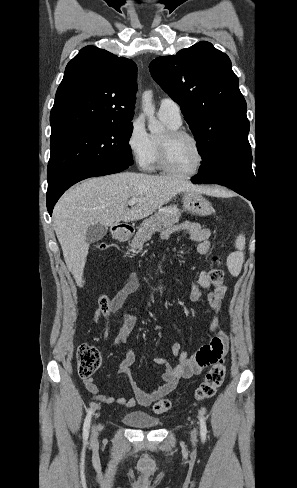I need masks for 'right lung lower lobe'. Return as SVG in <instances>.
Returning a JSON list of instances; mask_svg holds the SVG:
<instances>
[{"mask_svg": "<svg viewBox=\"0 0 297 488\" xmlns=\"http://www.w3.org/2000/svg\"><path fill=\"white\" fill-rule=\"evenodd\" d=\"M128 167L129 166H106V167L93 168V169L84 171L83 173L76 175L73 178L69 179L63 185H61L56 191H54L51 194H47V209H48L50 216L52 215L53 207H54L55 203L57 202V200L73 184H75L81 180H84L86 178H89V177H96V176L118 173L120 171L127 169Z\"/></svg>", "mask_w": 297, "mask_h": 488, "instance_id": "right-lung-lower-lobe-1", "label": "right lung lower lobe"}]
</instances>
